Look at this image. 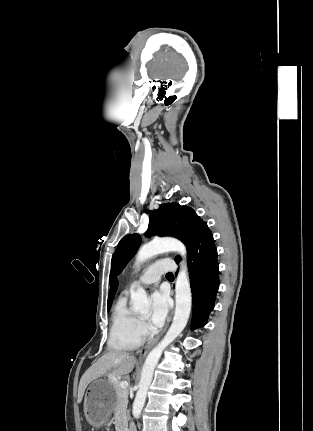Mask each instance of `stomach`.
I'll return each mask as SVG.
<instances>
[{
    "instance_id": "1",
    "label": "stomach",
    "mask_w": 313,
    "mask_h": 431,
    "mask_svg": "<svg viewBox=\"0 0 313 431\" xmlns=\"http://www.w3.org/2000/svg\"><path fill=\"white\" fill-rule=\"evenodd\" d=\"M115 383L113 379L92 381L84 398L87 421L94 427L106 424L115 407Z\"/></svg>"
}]
</instances>
